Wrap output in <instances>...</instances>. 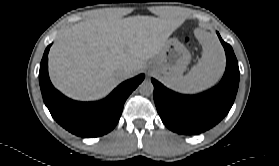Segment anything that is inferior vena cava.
Segmentation results:
<instances>
[{
	"mask_svg": "<svg viewBox=\"0 0 279 166\" xmlns=\"http://www.w3.org/2000/svg\"><path fill=\"white\" fill-rule=\"evenodd\" d=\"M130 73H131L130 66H125L120 70V74L123 78H127Z\"/></svg>",
	"mask_w": 279,
	"mask_h": 166,
	"instance_id": "602c4592",
	"label": "inferior vena cava"
}]
</instances>
